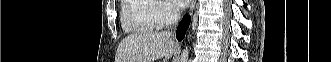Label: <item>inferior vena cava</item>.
Masks as SVG:
<instances>
[{
	"label": "inferior vena cava",
	"mask_w": 331,
	"mask_h": 62,
	"mask_svg": "<svg viewBox=\"0 0 331 62\" xmlns=\"http://www.w3.org/2000/svg\"><path fill=\"white\" fill-rule=\"evenodd\" d=\"M171 21L173 25H176L178 23V20L180 19V14H178L176 11H171ZM167 34L171 35V32L168 30L166 31Z\"/></svg>",
	"instance_id": "602c4592"
}]
</instances>
